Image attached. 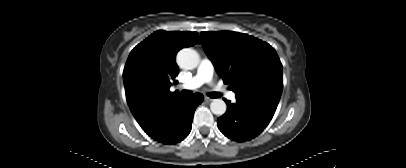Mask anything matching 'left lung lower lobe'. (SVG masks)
Instances as JSON below:
<instances>
[{
    "mask_svg": "<svg viewBox=\"0 0 406 168\" xmlns=\"http://www.w3.org/2000/svg\"><path fill=\"white\" fill-rule=\"evenodd\" d=\"M235 104L227 103L226 113L217 119L220 131L234 141H247L258 134L269 124L276 108L242 99Z\"/></svg>",
    "mask_w": 406,
    "mask_h": 168,
    "instance_id": "0a47b994",
    "label": "left lung lower lobe"
}]
</instances>
